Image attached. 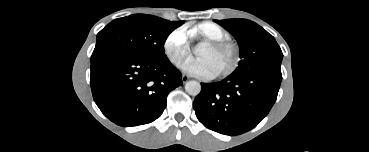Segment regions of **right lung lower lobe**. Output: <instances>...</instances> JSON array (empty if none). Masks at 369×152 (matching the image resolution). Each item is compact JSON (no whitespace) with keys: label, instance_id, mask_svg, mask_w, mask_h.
<instances>
[{"label":"right lung lower lobe","instance_id":"1","mask_svg":"<svg viewBox=\"0 0 369 152\" xmlns=\"http://www.w3.org/2000/svg\"><path fill=\"white\" fill-rule=\"evenodd\" d=\"M90 83L95 103L112 122L123 127L156 120L170 91L182 75L168 60L109 55L91 62Z\"/></svg>","mask_w":369,"mask_h":152}]
</instances>
